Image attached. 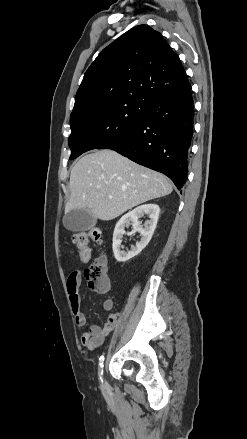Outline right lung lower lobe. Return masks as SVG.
<instances>
[{"instance_id": "98d812e1", "label": "right lung lower lobe", "mask_w": 247, "mask_h": 439, "mask_svg": "<svg viewBox=\"0 0 247 439\" xmlns=\"http://www.w3.org/2000/svg\"><path fill=\"white\" fill-rule=\"evenodd\" d=\"M193 115L191 88L164 96L148 106L130 132L107 148L164 173L180 189L187 178Z\"/></svg>"}]
</instances>
